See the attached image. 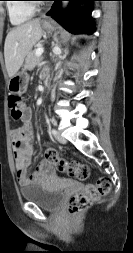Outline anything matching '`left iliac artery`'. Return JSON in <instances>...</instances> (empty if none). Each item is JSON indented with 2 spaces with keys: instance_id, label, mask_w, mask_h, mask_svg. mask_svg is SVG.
<instances>
[{
  "instance_id": "1",
  "label": "left iliac artery",
  "mask_w": 133,
  "mask_h": 253,
  "mask_svg": "<svg viewBox=\"0 0 133 253\" xmlns=\"http://www.w3.org/2000/svg\"><path fill=\"white\" fill-rule=\"evenodd\" d=\"M51 133H52L53 135H56V134H57L56 129H52V130H51Z\"/></svg>"
}]
</instances>
